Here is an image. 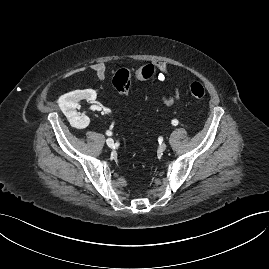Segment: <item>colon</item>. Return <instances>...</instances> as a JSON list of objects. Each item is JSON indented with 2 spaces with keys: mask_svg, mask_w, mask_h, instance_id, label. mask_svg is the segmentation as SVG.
<instances>
[{
  "mask_svg": "<svg viewBox=\"0 0 269 269\" xmlns=\"http://www.w3.org/2000/svg\"><path fill=\"white\" fill-rule=\"evenodd\" d=\"M157 73V68L153 65H147L141 68L140 79H149ZM134 74L127 69L118 70L113 77V86L123 96H128ZM190 94L195 101H202L205 97V88L199 82L190 85Z\"/></svg>",
  "mask_w": 269,
  "mask_h": 269,
  "instance_id": "5ec220e1",
  "label": "colon"
}]
</instances>
